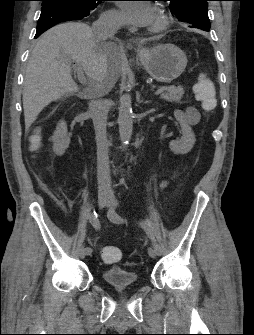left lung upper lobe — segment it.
Wrapping results in <instances>:
<instances>
[{"mask_svg": "<svg viewBox=\"0 0 254 335\" xmlns=\"http://www.w3.org/2000/svg\"><path fill=\"white\" fill-rule=\"evenodd\" d=\"M169 3L174 17L190 28L210 30L208 1L210 0H163Z\"/></svg>", "mask_w": 254, "mask_h": 335, "instance_id": "1", "label": "left lung upper lobe"}]
</instances>
